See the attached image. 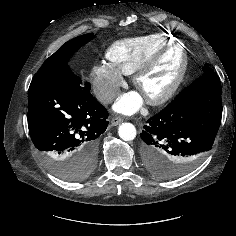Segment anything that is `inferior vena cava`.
Segmentation results:
<instances>
[{
  "instance_id": "obj_1",
  "label": "inferior vena cava",
  "mask_w": 236,
  "mask_h": 236,
  "mask_svg": "<svg viewBox=\"0 0 236 236\" xmlns=\"http://www.w3.org/2000/svg\"><path fill=\"white\" fill-rule=\"evenodd\" d=\"M118 96V91L113 89L99 96V100L103 103H110Z\"/></svg>"
}]
</instances>
